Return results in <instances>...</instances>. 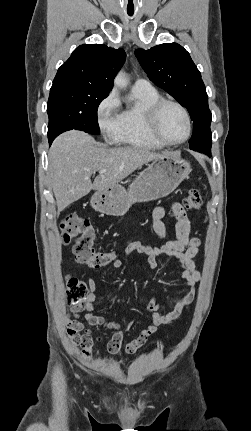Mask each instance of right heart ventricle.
I'll return each mask as SVG.
<instances>
[{"instance_id":"right-heart-ventricle-1","label":"right heart ventricle","mask_w":251,"mask_h":431,"mask_svg":"<svg viewBox=\"0 0 251 431\" xmlns=\"http://www.w3.org/2000/svg\"><path fill=\"white\" fill-rule=\"evenodd\" d=\"M133 93L138 99V104L121 112L120 126L114 139L119 143L133 147L161 149L163 145L150 135L146 126V110L161 96L154 88L149 90L133 89Z\"/></svg>"}]
</instances>
